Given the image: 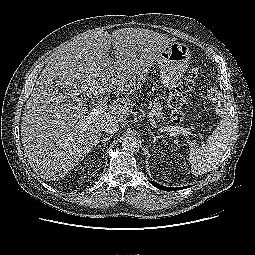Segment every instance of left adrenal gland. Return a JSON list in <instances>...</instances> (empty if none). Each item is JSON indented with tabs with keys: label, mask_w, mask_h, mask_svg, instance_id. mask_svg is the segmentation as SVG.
Returning <instances> with one entry per match:
<instances>
[{
	"label": "left adrenal gland",
	"mask_w": 255,
	"mask_h": 255,
	"mask_svg": "<svg viewBox=\"0 0 255 255\" xmlns=\"http://www.w3.org/2000/svg\"><path fill=\"white\" fill-rule=\"evenodd\" d=\"M148 133H149L150 135H152L153 143H155L156 140H157L158 138H162V137H163L162 135H157V136H155V134H154L150 129H148Z\"/></svg>",
	"instance_id": "left-adrenal-gland-1"
}]
</instances>
